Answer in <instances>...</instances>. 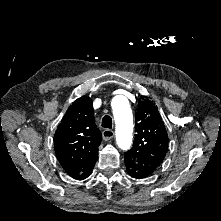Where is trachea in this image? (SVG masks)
<instances>
[{
  "instance_id": "3493384b",
  "label": "trachea",
  "mask_w": 221,
  "mask_h": 221,
  "mask_svg": "<svg viewBox=\"0 0 221 221\" xmlns=\"http://www.w3.org/2000/svg\"><path fill=\"white\" fill-rule=\"evenodd\" d=\"M102 127L104 128H112V119L110 116H104L103 119H102Z\"/></svg>"
}]
</instances>
